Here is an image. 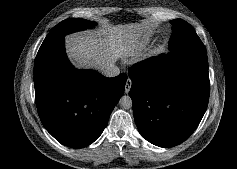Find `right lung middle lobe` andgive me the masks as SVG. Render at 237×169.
Wrapping results in <instances>:
<instances>
[{"mask_svg":"<svg viewBox=\"0 0 237 169\" xmlns=\"http://www.w3.org/2000/svg\"><path fill=\"white\" fill-rule=\"evenodd\" d=\"M95 25H96V22L84 20L82 18L66 19L60 22L58 25H56L47 35L45 40L64 37L65 35L69 33L85 30Z\"/></svg>","mask_w":237,"mask_h":169,"instance_id":"dd1d6c3e","label":"right lung middle lobe"}]
</instances>
